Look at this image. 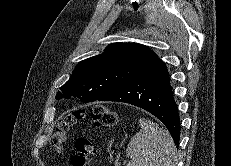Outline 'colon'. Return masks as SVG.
Wrapping results in <instances>:
<instances>
[{
  "label": "colon",
  "mask_w": 231,
  "mask_h": 166,
  "mask_svg": "<svg viewBox=\"0 0 231 166\" xmlns=\"http://www.w3.org/2000/svg\"><path fill=\"white\" fill-rule=\"evenodd\" d=\"M83 110L73 111L64 117L56 126L52 137V146L61 151L68 137L71 126L78 120L84 118ZM93 125L96 129H102L115 124L116 115L111 108L105 105H95L91 109ZM76 152L71 158L72 166H90L91 160L95 154L94 138L87 136L77 139L75 144Z\"/></svg>",
  "instance_id": "colon-1"
}]
</instances>
